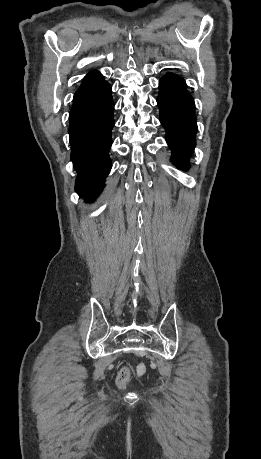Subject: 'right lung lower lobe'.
<instances>
[{
  "label": "right lung lower lobe",
  "mask_w": 261,
  "mask_h": 459,
  "mask_svg": "<svg viewBox=\"0 0 261 459\" xmlns=\"http://www.w3.org/2000/svg\"><path fill=\"white\" fill-rule=\"evenodd\" d=\"M111 86L105 82L73 102L69 114L71 159L78 172L76 192L93 201L104 187L111 169L114 103Z\"/></svg>",
  "instance_id": "right-lung-lower-lobe-1"
}]
</instances>
